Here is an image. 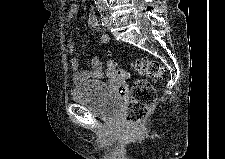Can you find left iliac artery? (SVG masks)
Returning <instances> with one entry per match:
<instances>
[{
    "label": "left iliac artery",
    "mask_w": 225,
    "mask_h": 159,
    "mask_svg": "<svg viewBox=\"0 0 225 159\" xmlns=\"http://www.w3.org/2000/svg\"><path fill=\"white\" fill-rule=\"evenodd\" d=\"M98 11L101 15V23L103 26H106L108 23V15H107V8L106 7H99Z\"/></svg>",
    "instance_id": "left-iliac-artery-1"
}]
</instances>
